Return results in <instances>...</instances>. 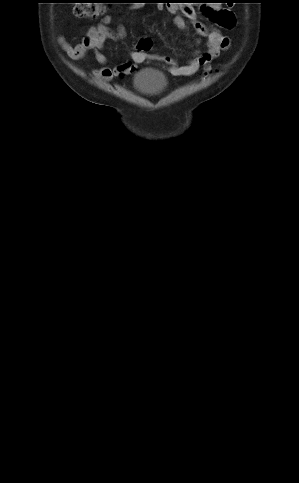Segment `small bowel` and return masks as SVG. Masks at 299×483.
I'll list each match as a JSON object with an SVG mask.
<instances>
[{"mask_svg": "<svg viewBox=\"0 0 299 483\" xmlns=\"http://www.w3.org/2000/svg\"><path fill=\"white\" fill-rule=\"evenodd\" d=\"M179 3V2H177ZM167 11L174 16V23L177 28L186 27V18L192 20L197 33L206 38L207 50L195 52L184 65H178L173 59L158 54H151L152 41L145 37L139 40L136 48L131 51V61L116 65L107 66L108 57L102 53L104 42L107 39H123L126 36V27L118 25L114 30L109 28L112 22L111 17L105 16L102 21L89 28L86 36L77 44L72 45L64 37H59L58 41L67 55L74 60L84 58L89 51H94L95 58L100 67L95 70L96 77L101 81H109L114 77H125L136 69L138 64L150 59L161 61L167 70L176 76H192L200 67H208L221 52L226 51L230 46L228 36L216 29H208L201 22L196 20L195 8L191 5L168 4ZM207 14L220 27L231 29L235 24V15L218 4L207 7Z\"/></svg>", "mask_w": 299, "mask_h": 483, "instance_id": "c3829d8e", "label": "small bowel"}]
</instances>
